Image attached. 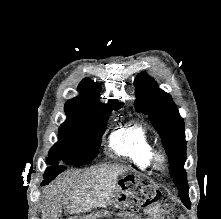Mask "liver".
I'll list each match as a JSON object with an SVG mask.
<instances>
[{
	"mask_svg": "<svg viewBox=\"0 0 221 219\" xmlns=\"http://www.w3.org/2000/svg\"><path fill=\"white\" fill-rule=\"evenodd\" d=\"M128 170L112 165L65 172L44 191L42 219H58L63 209L75 214L107 206L115 197L118 176Z\"/></svg>",
	"mask_w": 221,
	"mask_h": 219,
	"instance_id": "6515ba94",
	"label": "liver"
}]
</instances>
